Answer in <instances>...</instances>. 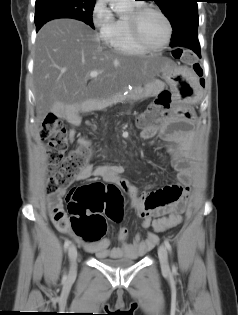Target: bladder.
<instances>
[{
  "label": "bladder",
  "mask_w": 238,
  "mask_h": 315,
  "mask_svg": "<svg viewBox=\"0 0 238 315\" xmlns=\"http://www.w3.org/2000/svg\"><path fill=\"white\" fill-rule=\"evenodd\" d=\"M100 261L110 268L122 269L135 264L137 262V258H128L123 260L102 258Z\"/></svg>",
  "instance_id": "obj_1"
}]
</instances>
